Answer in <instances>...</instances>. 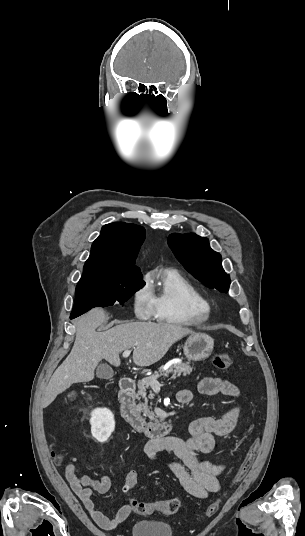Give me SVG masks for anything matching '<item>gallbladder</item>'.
I'll return each instance as SVG.
<instances>
[{
    "mask_svg": "<svg viewBox=\"0 0 305 536\" xmlns=\"http://www.w3.org/2000/svg\"><path fill=\"white\" fill-rule=\"evenodd\" d=\"M96 376L97 378H103V380H109V378H113L114 372L108 364H100L96 370Z\"/></svg>",
    "mask_w": 305,
    "mask_h": 536,
    "instance_id": "1",
    "label": "gallbladder"
}]
</instances>
